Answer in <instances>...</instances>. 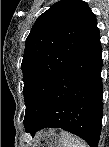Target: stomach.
<instances>
[{"mask_svg": "<svg viewBox=\"0 0 109 147\" xmlns=\"http://www.w3.org/2000/svg\"><path fill=\"white\" fill-rule=\"evenodd\" d=\"M63 132L56 130L41 131L29 143L30 147H63Z\"/></svg>", "mask_w": 109, "mask_h": 147, "instance_id": "stomach-1", "label": "stomach"}]
</instances>
